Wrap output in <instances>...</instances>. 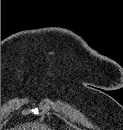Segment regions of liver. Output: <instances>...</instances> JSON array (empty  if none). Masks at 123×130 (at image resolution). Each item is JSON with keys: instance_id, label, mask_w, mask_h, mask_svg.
<instances>
[{"instance_id": "liver-1", "label": "liver", "mask_w": 123, "mask_h": 130, "mask_svg": "<svg viewBox=\"0 0 123 130\" xmlns=\"http://www.w3.org/2000/svg\"><path fill=\"white\" fill-rule=\"evenodd\" d=\"M22 128L23 130H46V127L40 124H26Z\"/></svg>"}]
</instances>
